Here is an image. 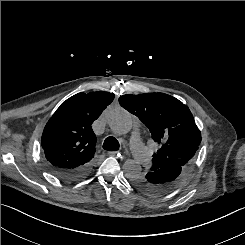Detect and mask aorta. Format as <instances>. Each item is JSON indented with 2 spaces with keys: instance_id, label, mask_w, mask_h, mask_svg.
<instances>
[{
  "instance_id": "1",
  "label": "aorta",
  "mask_w": 245,
  "mask_h": 245,
  "mask_svg": "<svg viewBox=\"0 0 245 245\" xmlns=\"http://www.w3.org/2000/svg\"><path fill=\"white\" fill-rule=\"evenodd\" d=\"M107 123L110 130L115 135H125L129 133L133 125L130 113L121 108H117L110 113ZM123 171L128 179L134 180L141 175L142 167L139 162L128 159L123 164Z\"/></svg>"
}]
</instances>
